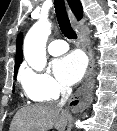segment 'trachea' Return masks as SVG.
<instances>
[{
	"label": "trachea",
	"mask_w": 117,
	"mask_h": 131,
	"mask_svg": "<svg viewBox=\"0 0 117 131\" xmlns=\"http://www.w3.org/2000/svg\"><path fill=\"white\" fill-rule=\"evenodd\" d=\"M55 12L60 30L68 39H77V35L71 27L64 0H54Z\"/></svg>",
	"instance_id": "1"
}]
</instances>
